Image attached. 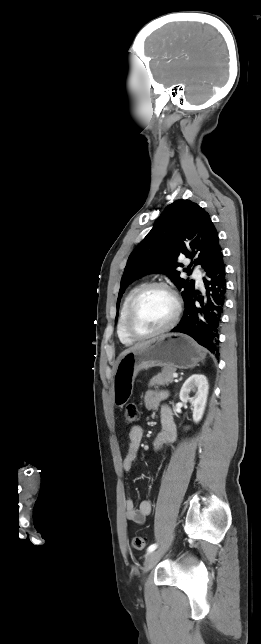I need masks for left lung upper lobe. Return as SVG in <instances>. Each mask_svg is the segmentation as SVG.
Masks as SVG:
<instances>
[{"mask_svg":"<svg viewBox=\"0 0 261 644\" xmlns=\"http://www.w3.org/2000/svg\"><path fill=\"white\" fill-rule=\"evenodd\" d=\"M222 251L219 237L209 214L196 203L178 200L170 204L157 219L152 230L130 254L118 295L117 306L126 287L142 275L162 272L168 274L179 290L185 304L194 293V281L179 277L175 269L177 258L185 255L204 270Z\"/></svg>","mask_w":261,"mask_h":644,"instance_id":"5c2ea615","label":"left lung upper lobe"}]
</instances>
